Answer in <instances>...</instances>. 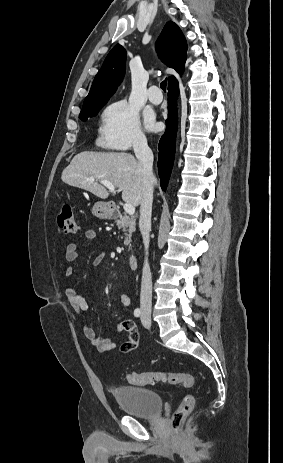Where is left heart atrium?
<instances>
[{
    "label": "left heart atrium",
    "mask_w": 283,
    "mask_h": 463,
    "mask_svg": "<svg viewBox=\"0 0 283 463\" xmlns=\"http://www.w3.org/2000/svg\"><path fill=\"white\" fill-rule=\"evenodd\" d=\"M146 126L149 130L152 131L157 129V124L152 116L146 117Z\"/></svg>",
    "instance_id": "obj_1"
}]
</instances>
